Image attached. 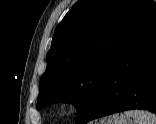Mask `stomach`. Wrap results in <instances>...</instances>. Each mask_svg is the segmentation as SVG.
<instances>
[{"mask_svg": "<svg viewBox=\"0 0 156 124\" xmlns=\"http://www.w3.org/2000/svg\"><path fill=\"white\" fill-rule=\"evenodd\" d=\"M106 124H133L129 117L123 114H116L112 119L106 121Z\"/></svg>", "mask_w": 156, "mask_h": 124, "instance_id": "0dacf381", "label": "stomach"}]
</instances>
